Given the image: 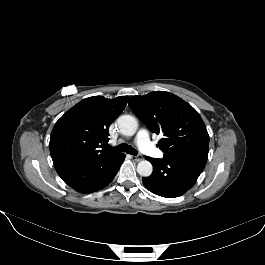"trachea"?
Returning <instances> with one entry per match:
<instances>
[{
  "label": "trachea",
  "mask_w": 265,
  "mask_h": 265,
  "mask_svg": "<svg viewBox=\"0 0 265 265\" xmlns=\"http://www.w3.org/2000/svg\"><path fill=\"white\" fill-rule=\"evenodd\" d=\"M113 149L116 151L126 152V153L131 154V155H137V151L133 147L128 146L125 143L119 144L118 146L114 147Z\"/></svg>",
  "instance_id": "trachea-1"
}]
</instances>
